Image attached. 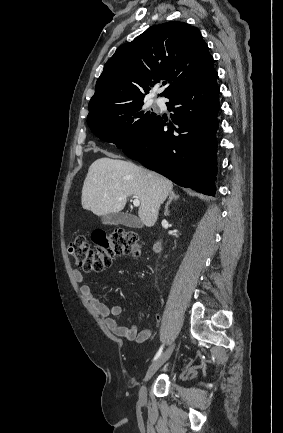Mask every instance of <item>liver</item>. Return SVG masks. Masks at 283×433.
<instances>
[{"label":"liver","instance_id":"6515ba94","mask_svg":"<svg viewBox=\"0 0 283 433\" xmlns=\"http://www.w3.org/2000/svg\"><path fill=\"white\" fill-rule=\"evenodd\" d=\"M173 182L151 170H145L130 160L97 158L88 168L82 188L83 208L94 214L120 212L127 196H138L140 221L146 227L155 225L159 208L167 198Z\"/></svg>","mask_w":283,"mask_h":433}]
</instances>
